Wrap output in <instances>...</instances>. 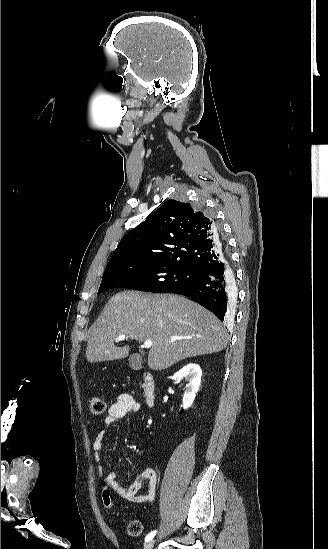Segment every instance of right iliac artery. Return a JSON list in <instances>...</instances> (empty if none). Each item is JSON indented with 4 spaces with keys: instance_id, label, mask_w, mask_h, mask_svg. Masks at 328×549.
Wrapping results in <instances>:
<instances>
[{
    "instance_id": "right-iliac-artery-1",
    "label": "right iliac artery",
    "mask_w": 328,
    "mask_h": 549,
    "mask_svg": "<svg viewBox=\"0 0 328 549\" xmlns=\"http://www.w3.org/2000/svg\"><path fill=\"white\" fill-rule=\"evenodd\" d=\"M155 535H156V531L150 532V533L145 537V542L151 540Z\"/></svg>"
}]
</instances>
